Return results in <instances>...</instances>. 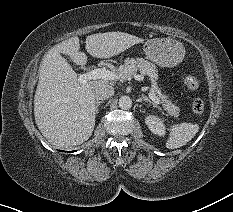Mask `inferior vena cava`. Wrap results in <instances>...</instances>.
<instances>
[{
	"mask_svg": "<svg viewBox=\"0 0 233 212\" xmlns=\"http://www.w3.org/2000/svg\"><path fill=\"white\" fill-rule=\"evenodd\" d=\"M93 94L97 100H105L113 96L114 88L108 84H96L93 87Z\"/></svg>",
	"mask_w": 233,
	"mask_h": 212,
	"instance_id": "602c4592",
	"label": "inferior vena cava"
}]
</instances>
